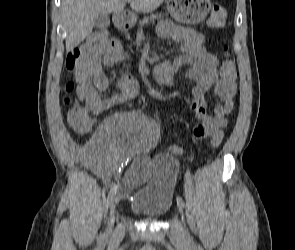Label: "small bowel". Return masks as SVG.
Wrapping results in <instances>:
<instances>
[{
	"instance_id": "small-bowel-1",
	"label": "small bowel",
	"mask_w": 295,
	"mask_h": 250,
	"mask_svg": "<svg viewBox=\"0 0 295 250\" xmlns=\"http://www.w3.org/2000/svg\"><path fill=\"white\" fill-rule=\"evenodd\" d=\"M158 34L162 39L173 38L181 43L180 53L171 61H162L155 65L153 74L156 81L172 86L176 74L186 69V76L193 81L189 106L199 123L193 128L196 139L210 140L218 147L224 137L228 124V115L234 106L236 83L226 82L218 77L219 60L205 47V37L199 31L164 21L159 25ZM124 59V52L116 40H108L100 49L89 50L82 56L69 54L66 67L73 73L78 83L77 96L86 104L95 106L98 113L132 100L138 93L137 82L124 74L118 82V91L103 98L108 88V79L102 70V64L111 66ZM213 91L218 99L213 114L207 111L204 96ZM155 123L141 112H124L111 117L101 125L91 144L96 172L105 180L109 179L115 163L133 158L132 164L123 177L124 194L146 181L151 170L148 152L158 139ZM171 155H179L178 146L170 147Z\"/></svg>"
}]
</instances>
